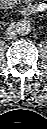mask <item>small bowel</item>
Listing matches in <instances>:
<instances>
[{"instance_id": "obj_1", "label": "small bowel", "mask_w": 47, "mask_h": 129, "mask_svg": "<svg viewBox=\"0 0 47 129\" xmlns=\"http://www.w3.org/2000/svg\"><path fill=\"white\" fill-rule=\"evenodd\" d=\"M16 0H2V4L5 6H11L13 4H15ZM34 5L37 7V10L39 12L44 11L47 7V4L45 1H35Z\"/></svg>"}]
</instances>
